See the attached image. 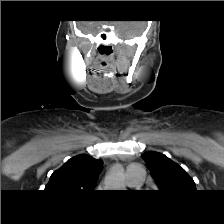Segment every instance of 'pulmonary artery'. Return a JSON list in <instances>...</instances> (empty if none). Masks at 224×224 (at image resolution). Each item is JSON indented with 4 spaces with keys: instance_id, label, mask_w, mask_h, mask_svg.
I'll use <instances>...</instances> for the list:
<instances>
[{
    "instance_id": "obj_1",
    "label": "pulmonary artery",
    "mask_w": 224,
    "mask_h": 224,
    "mask_svg": "<svg viewBox=\"0 0 224 224\" xmlns=\"http://www.w3.org/2000/svg\"><path fill=\"white\" fill-rule=\"evenodd\" d=\"M127 181L130 186H141L143 179H144V174L143 171L137 167L130 166L127 169Z\"/></svg>"
}]
</instances>
